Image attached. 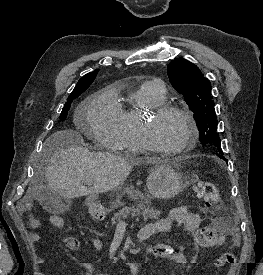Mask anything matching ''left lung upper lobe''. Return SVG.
<instances>
[{
	"label": "left lung upper lobe",
	"mask_w": 263,
	"mask_h": 275,
	"mask_svg": "<svg viewBox=\"0 0 263 275\" xmlns=\"http://www.w3.org/2000/svg\"><path fill=\"white\" fill-rule=\"evenodd\" d=\"M167 71L171 85L178 93L183 94L194 113L201 144L211 150L222 152L209 80L195 64L184 58L171 61Z\"/></svg>",
	"instance_id": "left-lung-upper-lobe-1"
}]
</instances>
